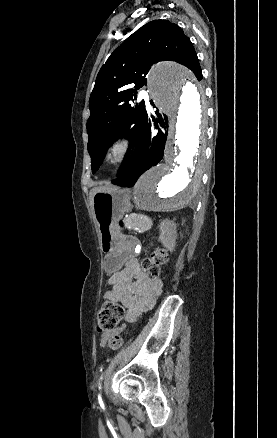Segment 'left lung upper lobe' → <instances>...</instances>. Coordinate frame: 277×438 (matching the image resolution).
<instances>
[{"mask_svg": "<svg viewBox=\"0 0 277 438\" xmlns=\"http://www.w3.org/2000/svg\"><path fill=\"white\" fill-rule=\"evenodd\" d=\"M164 60L176 61L192 70L198 80L203 78L190 39L168 20H153L138 29L101 67L90 95V117L86 125L93 173L118 137H130L138 148L148 125V114L144 101L136 106L131 103L137 98V90L146 84L150 67Z\"/></svg>", "mask_w": 277, "mask_h": 438, "instance_id": "obj_1", "label": "left lung upper lobe"}]
</instances>
